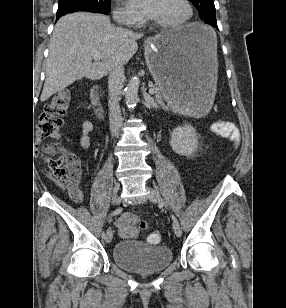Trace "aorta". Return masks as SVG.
Returning a JSON list of instances; mask_svg holds the SVG:
<instances>
[{"instance_id": "1", "label": "aorta", "mask_w": 286, "mask_h": 308, "mask_svg": "<svg viewBox=\"0 0 286 308\" xmlns=\"http://www.w3.org/2000/svg\"><path fill=\"white\" fill-rule=\"evenodd\" d=\"M140 80L138 77H133L129 81L125 89V98L127 106L133 109L139 100L138 90H139Z\"/></svg>"}]
</instances>
